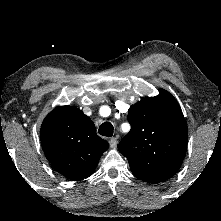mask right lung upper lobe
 Wrapping results in <instances>:
<instances>
[{
	"label": "right lung upper lobe",
	"instance_id": "obj_1",
	"mask_svg": "<svg viewBox=\"0 0 221 221\" xmlns=\"http://www.w3.org/2000/svg\"><path fill=\"white\" fill-rule=\"evenodd\" d=\"M40 139L53 168L68 179L89 177L109 144L96 134L94 123L72 106L55 108L44 119Z\"/></svg>",
	"mask_w": 221,
	"mask_h": 221
}]
</instances>
